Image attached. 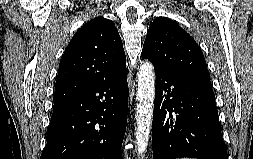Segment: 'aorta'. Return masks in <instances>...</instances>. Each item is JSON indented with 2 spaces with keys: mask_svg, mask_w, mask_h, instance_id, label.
Listing matches in <instances>:
<instances>
[{
  "mask_svg": "<svg viewBox=\"0 0 253 159\" xmlns=\"http://www.w3.org/2000/svg\"><path fill=\"white\" fill-rule=\"evenodd\" d=\"M137 105H136V147L139 155L145 153L152 125L155 98V72L153 65L143 62L137 74Z\"/></svg>",
  "mask_w": 253,
  "mask_h": 159,
  "instance_id": "1",
  "label": "aorta"
}]
</instances>
